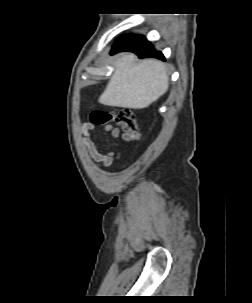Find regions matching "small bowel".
<instances>
[{
    "mask_svg": "<svg viewBox=\"0 0 252 303\" xmlns=\"http://www.w3.org/2000/svg\"><path fill=\"white\" fill-rule=\"evenodd\" d=\"M94 130V127L85 122L81 127V142L86 150L88 157L95 164L109 167L113 164L114 160H120L122 157L121 150L109 151L106 153L100 152L97 148L96 143L90 138V132ZM105 132H110L111 136L114 139H118L120 137V130L118 128H114L111 125H106L104 127Z\"/></svg>",
    "mask_w": 252,
    "mask_h": 303,
    "instance_id": "1",
    "label": "small bowel"
}]
</instances>
